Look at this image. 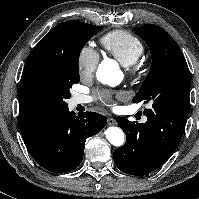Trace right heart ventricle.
Masks as SVG:
<instances>
[{"label": "right heart ventricle", "instance_id": "right-heart-ventricle-1", "mask_svg": "<svg viewBox=\"0 0 199 199\" xmlns=\"http://www.w3.org/2000/svg\"><path fill=\"white\" fill-rule=\"evenodd\" d=\"M105 51L127 67L135 63L144 53L142 41L125 30H115L101 38Z\"/></svg>", "mask_w": 199, "mask_h": 199}]
</instances>
